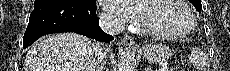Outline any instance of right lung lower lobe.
Here are the masks:
<instances>
[{"label": "right lung lower lobe", "mask_w": 230, "mask_h": 71, "mask_svg": "<svg viewBox=\"0 0 230 71\" xmlns=\"http://www.w3.org/2000/svg\"><path fill=\"white\" fill-rule=\"evenodd\" d=\"M96 9V5L71 0L36 2L23 37V48L43 35L61 32H75L108 43L113 37L99 27Z\"/></svg>", "instance_id": "right-lung-lower-lobe-1"}]
</instances>
